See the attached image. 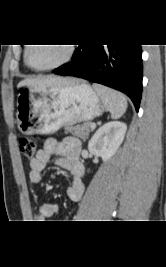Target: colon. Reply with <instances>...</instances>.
<instances>
[{"label":"colon","instance_id":"obj_1","mask_svg":"<svg viewBox=\"0 0 166 267\" xmlns=\"http://www.w3.org/2000/svg\"><path fill=\"white\" fill-rule=\"evenodd\" d=\"M19 149H20L21 154L24 157L28 159H32L35 155L36 144L34 140L23 137L19 141Z\"/></svg>","mask_w":166,"mask_h":267}]
</instances>
